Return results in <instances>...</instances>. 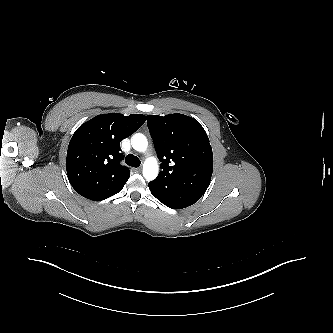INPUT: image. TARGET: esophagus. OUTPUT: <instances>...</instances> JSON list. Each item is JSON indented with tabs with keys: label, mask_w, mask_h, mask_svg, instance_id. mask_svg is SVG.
Masks as SVG:
<instances>
[{
	"label": "esophagus",
	"mask_w": 333,
	"mask_h": 333,
	"mask_svg": "<svg viewBox=\"0 0 333 333\" xmlns=\"http://www.w3.org/2000/svg\"><path fill=\"white\" fill-rule=\"evenodd\" d=\"M141 170H142L141 167H138V168L134 169L135 172H141Z\"/></svg>",
	"instance_id": "34e87169"
}]
</instances>
